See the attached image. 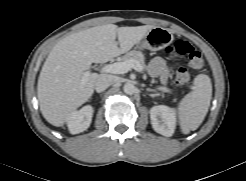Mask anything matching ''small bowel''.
<instances>
[{
    "mask_svg": "<svg viewBox=\"0 0 246 181\" xmlns=\"http://www.w3.org/2000/svg\"><path fill=\"white\" fill-rule=\"evenodd\" d=\"M149 70L153 75L159 76L163 82L168 78L169 72L166 68L165 60L161 57H155L151 60Z\"/></svg>",
    "mask_w": 246,
    "mask_h": 181,
    "instance_id": "obj_1",
    "label": "small bowel"
}]
</instances>
